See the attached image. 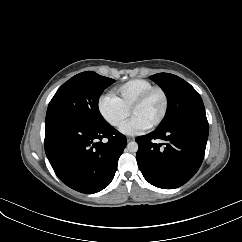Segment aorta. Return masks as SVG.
Returning <instances> with one entry per match:
<instances>
[{"label": "aorta", "mask_w": 242, "mask_h": 242, "mask_svg": "<svg viewBox=\"0 0 242 242\" xmlns=\"http://www.w3.org/2000/svg\"><path fill=\"white\" fill-rule=\"evenodd\" d=\"M138 148H139V146H138L137 142H135V141L129 142L127 144V150L129 152L135 153L138 151Z\"/></svg>", "instance_id": "obj_1"}]
</instances>
